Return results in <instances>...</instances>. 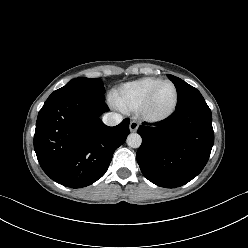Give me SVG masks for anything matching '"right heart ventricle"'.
Listing matches in <instances>:
<instances>
[{
	"label": "right heart ventricle",
	"instance_id": "e07e8e85",
	"mask_svg": "<svg viewBox=\"0 0 248 248\" xmlns=\"http://www.w3.org/2000/svg\"><path fill=\"white\" fill-rule=\"evenodd\" d=\"M160 81L159 78L144 77L124 83L114 90L113 100L124 111H136L148 91Z\"/></svg>",
	"mask_w": 248,
	"mask_h": 248
}]
</instances>
